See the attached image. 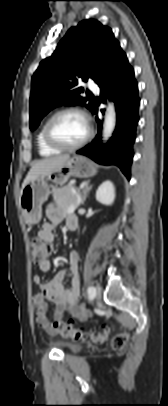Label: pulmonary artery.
I'll use <instances>...</instances> for the list:
<instances>
[{
  "mask_svg": "<svg viewBox=\"0 0 168 406\" xmlns=\"http://www.w3.org/2000/svg\"><path fill=\"white\" fill-rule=\"evenodd\" d=\"M88 87L90 90L94 91V92H98V86L95 84V82L93 80H90L88 82Z\"/></svg>",
  "mask_w": 168,
  "mask_h": 406,
  "instance_id": "e3ab8cb5",
  "label": "pulmonary artery"
}]
</instances>
